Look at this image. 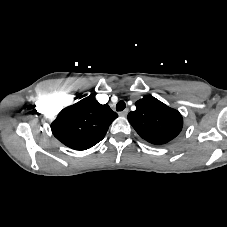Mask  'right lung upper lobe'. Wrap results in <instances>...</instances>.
I'll return each instance as SVG.
<instances>
[{
  "mask_svg": "<svg viewBox=\"0 0 227 227\" xmlns=\"http://www.w3.org/2000/svg\"><path fill=\"white\" fill-rule=\"evenodd\" d=\"M118 117L108 104L90 95L64 108L51 124L53 135L74 150H86L100 142Z\"/></svg>",
  "mask_w": 227,
  "mask_h": 227,
  "instance_id": "1",
  "label": "right lung upper lobe"
}]
</instances>
